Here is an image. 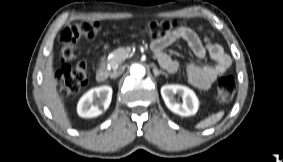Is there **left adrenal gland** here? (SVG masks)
Instances as JSON below:
<instances>
[{
  "label": "left adrenal gland",
  "instance_id": "1",
  "mask_svg": "<svg viewBox=\"0 0 283 162\" xmlns=\"http://www.w3.org/2000/svg\"><path fill=\"white\" fill-rule=\"evenodd\" d=\"M153 73H154L155 77H158L160 74H163V75H165L166 77H168V74H167V73H165V72H163V71H161V70H158L155 65L153 66Z\"/></svg>",
  "mask_w": 283,
  "mask_h": 162
}]
</instances>
